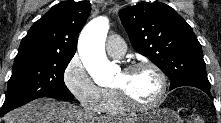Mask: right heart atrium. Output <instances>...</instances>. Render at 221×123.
Wrapping results in <instances>:
<instances>
[{"label": "right heart atrium", "instance_id": "obj_1", "mask_svg": "<svg viewBox=\"0 0 221 123\" xmlns=\"http://www.w3.org/2000/svg\"><path fill=\"white\" fill-rule=\"evenodd\" d=\"M63 81L69 92L82 107L101 112L105 92L97 86L78 56H74L65 67Z\"/></svg>", "mask_w": 221, "mask_h": 123}]
</instances>
